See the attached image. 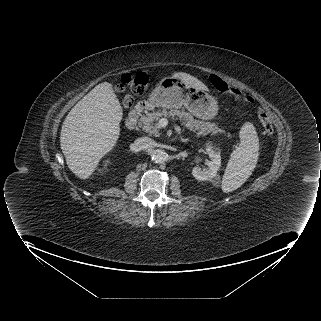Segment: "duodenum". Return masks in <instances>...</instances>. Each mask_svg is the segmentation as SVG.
Instances as JSON below:
<instances>
[{
    "label": "duodenum",
    "instance_id": "410a0bca",
    "mask_svg": "<svg viewBox=\"0 0 321 321\" xmlns=\"http://www.w3.org/2000/svg\"><path fill=\"white\" fill-rule=\"evenodd\" d=\"M148 106L146 101H140L136 104L127 117L126 125L128 128L132 129L136 126L140 115L148 109Z\"/></svg>",
    "mask_w": 321,
    "mask_h": 321
}]
</instances>
